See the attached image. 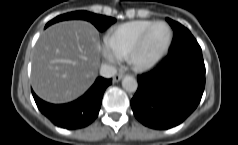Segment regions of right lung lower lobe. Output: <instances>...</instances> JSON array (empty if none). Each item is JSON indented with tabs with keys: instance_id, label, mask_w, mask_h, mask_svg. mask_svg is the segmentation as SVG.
I'll return each mask as SVG.
<instances>
[{
	"instance_id": "98d812e1",
	"label": "right lung lower lobe",
	"mask_w": 238,
	"mask_h": 145,
	"mask_svg": "<svg viewBox=\"0 0 238 145\" xmlns=\"http://www.w3.org/2000/svg\"><path fill=\"white\" fill-rule=\"evenodd\" d=\"M112 79L98 77L90 89L77 100L66 104H50L41 100L33 91L38 109L53 124L65 129H79L91 124L98 116L105 89Z\"/></svg>"
}]
</instances>
